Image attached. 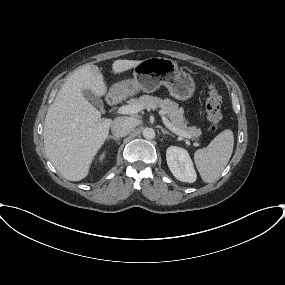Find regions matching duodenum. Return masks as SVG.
Returning <instances> with one entry per match:
<instances>
[{"instance_id": "obj_1", "label": "duodenum", "mask_w": 285, "mask_h": 285, "mask_svg": "<svg viewBox=\"0 0 285 285\" xmlns=\"http://www.w3.org/2000/svg\"><path fill=\"white\" fill-rule=\"evenodd\" d=\"M107 102L110 106L116 105L118 103V98L116 95L111 94L108 96Z\"/></svg>"}]
</instances>
